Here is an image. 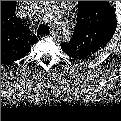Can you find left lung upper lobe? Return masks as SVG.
<instances>
[{
	"label": "left lung upper lobe",
	"mask_w": 121,
	"mask_h": 121,
	"mask_svg": "<svg viewBox=\"0 0 121 121\" xmlns=\"http://www.w3.org/2000/svg\"><path fill=\"white\" fill-rule=\"evenodd\" d=\"M117 25L114 9L106 1H81L75 31L62 50L72 58H82L104 48Z\"/></svg>",
	"instance_id": "5c2ea615"
}]
</instances>
